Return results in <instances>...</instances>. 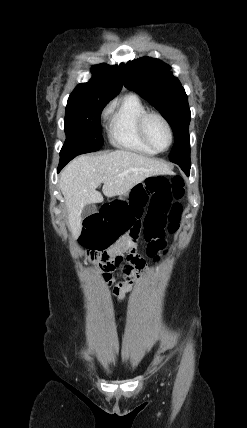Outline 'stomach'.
Instances as JSON below:
<instances>
[{"label":"stomach","mask_w":247,"mask_h":428,"mask_svg":"<svg viewBox=\"0 0 247 428\" xmlns=\"http://www.w3.org/2000/svg\"><path fill=\"white\" fill-rule=\"evenodd\" d=\"M125 197L128 195V193L123 194Z\"/></svg>","instance_id":"1"}]
</instances>
